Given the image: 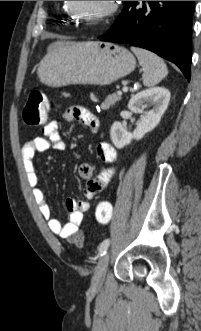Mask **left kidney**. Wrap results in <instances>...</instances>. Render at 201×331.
I'll list each match as a JSON object with an SVG mask.
<instances>
[{"mask_svg":"<svg viewBox=\"0 0 201 331\" xmlns=\"http://www.w3.org/2000/svg\"><path fill=\"white\" fill-rule=\"evenodd\" d=\"M169 100L170 92L163 87L150 88L132 96L128 103V108L133 113L142 115L136 129L132 133L128 132L126 126L121 122L113 123L110 137L115 147L121 149L130 144L133 139L140 140L146 133L153 130L166 111ZM147 106L152 107V109L144 111Z\"/></svg>","mask_w":201,"mask_h":331,"instance_id":"5707ae66","label":"left kidney"}]
</instances>
